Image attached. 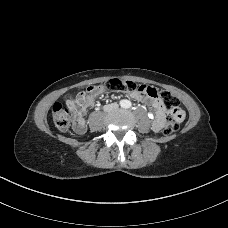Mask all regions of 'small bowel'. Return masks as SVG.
I'll list each match as a JSON object with an SVG mask.
<instances>
[{"label": "small bowel", "mask_w": 228, "mask_h": 228, "mask_svg": "<svg viewBox=\"0 0 228 228\" xmlns=\"http://www.w3.org/2000/svg\"><path fill=\"white\" fill-rule=\"evenodd\" d=\"M94 87V89H93ZM104 88L98 86H89L85 90L80 91L75 95L74 98L68 99L66 101L67 106L73 111L76 120V130L77 132L85 131V120L83 117L84 112L87 108L92 107L95 102V98L103 92ZM129 96L134 100L147 101L150 106L155 111V119L153 121V129L155 131H160L163 128L165 121V108L162 105L160 98L158 97H148L146 94L133 90L128 92ZM184 112L182 111L183 120Z\"/></svg>", "instance_id": "1"}]
</instances>
